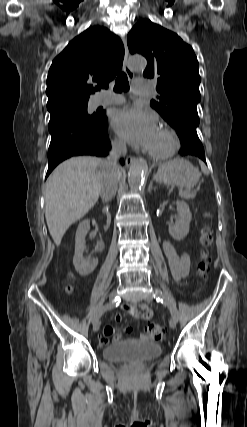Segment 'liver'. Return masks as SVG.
Masks as SVG:
<instances>
[{
    "instance_id": "liver-1",
    "label": "liver",
    "mask_w": 247,
    "mask_h": 427,
    "mask_svg": "<svg viewBox=\"0 0 247 427\" xmlns=\"http://www.w3.org/2000/svg\"><path fill=\"white\" fill-rule=\"evenodd\" d=\"M106 171V160L79 156L64 161L49 176L45 217L57 246L68 228L84 217L98 201Z\"/></svg>"
}]
</instances>
